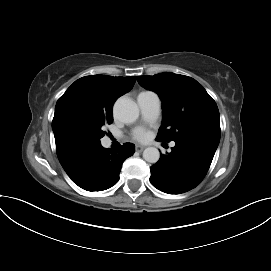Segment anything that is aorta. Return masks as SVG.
Here are the masks:
<instances>
[{
  "instance_id": "aorta-1",
  "label": "aorta",
  "mask_w": 271,
  "mask_h": 271,
  "mask_svg": "<svg viewBox=\"0 0 271 271\" xmlns=\"http://www.w3.org/2000/svg\"><path fill=\"white\" fill-rule=\"evenodd\" d=\"M114 115L123 123H133L139 116L137 104L129 98H119L114 104ZM143 158L149 163H156L160 152L155 147H148L143 151Z\"/></svg>"
}]
</instances>
